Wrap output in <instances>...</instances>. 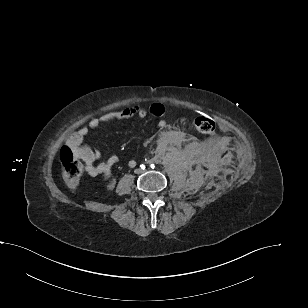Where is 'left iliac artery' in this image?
I'll return each instance as SVG.
<instances>
[{
  "mask_svg": "<svg viewBox=\"0 0 308 308\" xmlns=\"http://www.w3.org/2000/svg\"><path fill=\"white\" fill-rule=\"evenodd\" d=\"M151 167L154 168V165L152 164Z\"/></svg>",
  "mask_w": 308,
  "mask_h": 308,
  "instance_id": "obj_1",
  "label": "left iliac artery"
}]
</instances>
